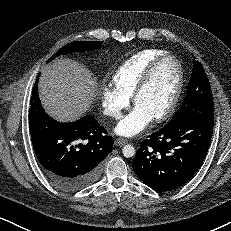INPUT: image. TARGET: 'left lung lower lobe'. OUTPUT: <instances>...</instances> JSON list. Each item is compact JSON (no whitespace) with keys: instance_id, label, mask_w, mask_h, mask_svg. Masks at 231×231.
<instances>
[{"instance_id":"0a47b994","label":"left lung lower lobe","mask_w":231,"mask_h":231,"mask_svg":"<svg viewBox=\"0 0 231 231\" xmlns=\"http://www.w3.org/2000/svg\"><path fill=\"white\" fill-rule=\"evenodd\" d=\"M214 127V112L190 111L141 143L133 160L137 176L156 191H172L201 167Z\"/></svg>"}]
</instances>
